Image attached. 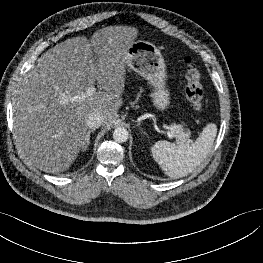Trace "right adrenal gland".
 Wrapping results in <instances>:
<instances>
[{"mask_svg":"<svg viewBox=\"0 0 263 263\" xmlns=\"http://www.w3.org/2000/svg\"><path fill=\"white\" fill-rule=\"evenodd\" d=\"M94 131H95V129H91V130H89V131L87 132L86 138H85V145H84V147H83V151H86V150H87V148H88V146H89V144H90V135H91V133L94 132Z\"/></svg>","mask_w":263,"mask_h":263,"instance_id":"right-adrenal-gland-1","label":"right adrenal gland"}]
</instances>
